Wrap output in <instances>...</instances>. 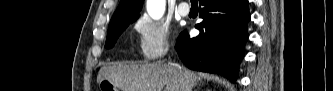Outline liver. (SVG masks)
I'll list each match as a JSON object with an SVG mask.
<instances>
[{
    "label": "liver",
    "instance_id": "6515ba94",
    "mask_svg": "<svg viewBox=\"0 0 333 91\" xmlns=\"http://www.w3.org/2000/svg\"><path fill=\"white\" fill-rule=\"evenodd\" d=\"M110 80L122 91H182L184 81L192 89L198 75L184 66L156 62L151 64L117 63L103 66L98 73L97 83ZM200 79V77H199Z\"/></svg>",
    "mask_w": 333,
    "mask_h": 91
}]
</instances>
